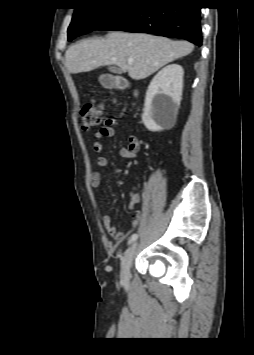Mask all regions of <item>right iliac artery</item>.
Listing matches in <instances>:
<instances>
[{"label":"right iliac artery","instance_id":"82829eb1","mask_svg":"<svg viewBox=\"0 0 254 355\" xmlns=\"http://www.w3.org/2000/svg\"><path fill=\"white\" fill-rule=\"evenodd\" d=\"M137 238H138V235L136 233L132 234V236L130 237V240H129V244H131L134 241H136Z\"/></svg>","mask_w":254,"mask_h":355}]
</instances>
